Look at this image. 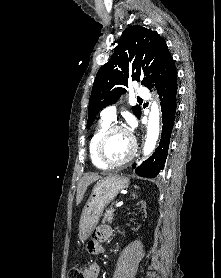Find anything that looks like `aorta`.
I'll return each instance as SVG.
<instances>
[{
	"mask_svg": "<svg viewBox=\"0 0 221 278\" xmlns=\"http://www.w3.org/2000/svg\"><path fill=\"white\" fill-rule=\"evenodd\" d=\"M159 108L156 101L151 105V111L149 113V120L147 126V136L143 148L144 155H150L155 149L156 142L159 136Z\"/></svg>",
	"mask_w": 221,
	"mask_h": 278,
	"instance_id": "762f6f07",
	"label": "aorta"
}]
</instances>
